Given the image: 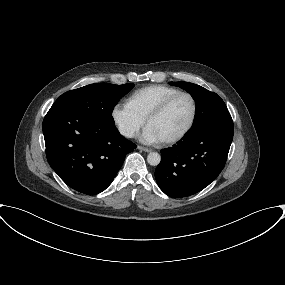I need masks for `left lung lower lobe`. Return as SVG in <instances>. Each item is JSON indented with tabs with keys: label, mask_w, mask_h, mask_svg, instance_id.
<instances>
[{
	"label": "left lung lower lobe",
	"mask_w": 285,
	"mask_h": 285,
	"mask_svg": "<svg viewBox=\"0 0 285 285\" xmlns=\"http://www.w3.org/2000/svg\"><path fill=\"white\" fill-rule=\"evenodd\" d=\"M233 134V124H213L189 131L177 145L162 150L155 171L160 189L181 198L208 186L226 163Z\"/></svg>",
	"instance_id": "left-lung-lower-lobe-1"
}]
</instances>
